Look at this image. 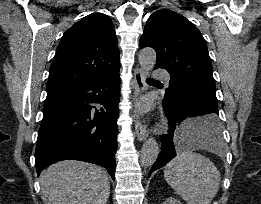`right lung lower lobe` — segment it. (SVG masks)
I'll return each instance as SVG.
<instances>
[{"instance_id": "98d812e1", "label": "right lung lower lobe", "mask_w": 261, "mask_h": 204, "mask_svg": "<svg viewBox=\"0 0 261 204\" xmlns=\"http://www.w3.org/2000/svg\"><path fill=\"white\" fill-rule=\"evenodd\" d=\"M119 68L47 91L35 151L38 175L53 163L72 159L103 166L115 179ZM95 103L101 108L96 109Z\"/></svg>"}]
</instances>
